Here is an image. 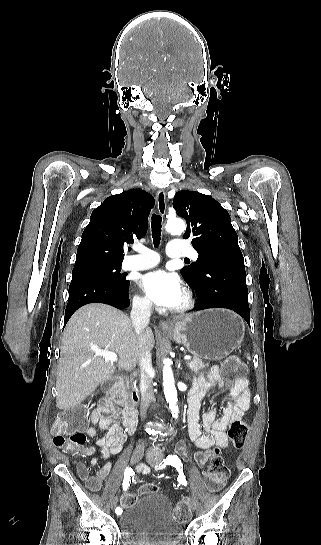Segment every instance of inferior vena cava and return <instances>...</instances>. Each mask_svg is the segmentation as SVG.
Returning <instances> with one entry per match:
<instances>
[{"mask_svg": "<svg viewBox=\"0 0 321 545\" xmlns=\"http://www.w3.org/2000/svg\"><path fill=\"white\" fill-rule=\"evenodd\" d=\"M152 301L149 299H134L132 303V311L130 313V319L132 321V327L136 335H141L144 327H147L152 309ZM140 393H141V417L144 419L146 417L147 409L150 407V403L155 401L154 391H153V381L150 377V371L152 369V359L150 351H146L143 359H140ZM150 445V442H139V449H149L146 444Z\"/></svg>", "mask_w": 321, "mask_h": 545, "instance_id": "1", "label": "inferior vena cava"}]
</instances>
